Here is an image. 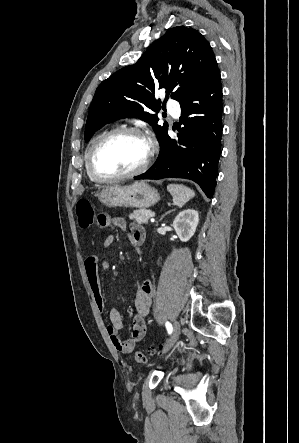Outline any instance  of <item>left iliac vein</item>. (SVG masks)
<instances>
[{
    "mask_svg": "<svg viewBox=\"0 0 299 443\" xmlns=\"http://www.w3.org/2000/svg\"><path fill=\"white\" fill-rule=\"evenodd\" d=\"M181 333V325L178 321H175L173 324V333L171 335L170 341L167 344L166 348L164 349V352L168 351L178 340Z\"/></svg>",
    "mask_w": 299,
    "mask_h": 443,
    "instance_id": "obj_1",
    "label": "left iliac vein"
}]
</instances>
